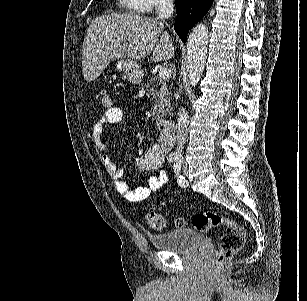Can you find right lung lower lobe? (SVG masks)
<instances>
[{"mask_svg":"<svg viewBox=\"0 0 307 301\" xmlns=\"http://www.w3.org/2000/svg\"><path fill=\"white\" fill-rule=\"evenodd\" d=\"M213 0H177L174 30L183 42L187 32L209 11Z\"/></svg>","mask_w":307,"mask_h":301,"instance_id":"obj_1","label":"right lung lower lobe"}]
</instances>
